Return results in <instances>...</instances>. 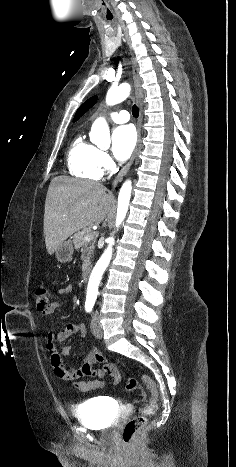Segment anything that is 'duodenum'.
Wrapping results in <instances>:
<instances>
[{
  "instance_id": "1",
  "label": "duodenum",
  "mask_w": 236,
  "mask_h": 467,
  "mask_svg": "<svg viewBox=\"0 0 236 467\" xmlns=\"http://www.w3.org/2000/svg\"><path fill=\"white\" fill-rule=\"evenodd\" d=\"M89 275H90V267L86 266L82 271L81 280L83 282H87L88 278H89Z\"/></svg>"
}]
</instances>
